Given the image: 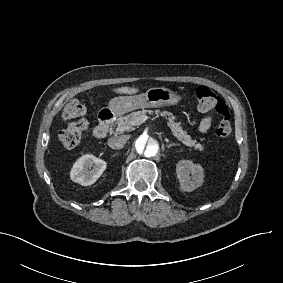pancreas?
Here are the masks:
<instances>
[{
    "instance_id": "cf45deb5",
    "label": "pancreas",
    "mask_w": 283,
    "mask_h": 283,
    "mask_svg": "<svg viewBox=\"0 0 283 283\" xmlns=\"http://www.w3.org/2000/svg\"><path fill=\"white\" fill-rule=\"evenodd\" d=\"M149 114H156L164 116L167 120V126L170 128L173 136L181 141L186 146H191L194 149H198L199 151H204V144H199L195 140L191 139V136L187 133L186 130H183V127L180 122H176V116L168 111L161 112L159 109L155 111L149 110ZM146 111H136L133 112L123 118L116 119V123L118 127L116 129L117 133H124L126 131H132L135 126L142 124L143 118L145 116Z\"/></svg>"
}]
</instances>
